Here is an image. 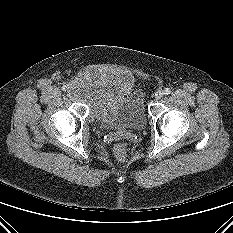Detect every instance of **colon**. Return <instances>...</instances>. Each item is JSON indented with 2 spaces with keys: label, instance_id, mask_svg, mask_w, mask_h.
<instances>
[{
  "label": "colon",
  "instance_id": "5ec220e1",
  "mask_svg": "<svg viewBox=\"0 0 233 233\" xmlns=\"http://www.w3.org/2000/svg\"><path fill=\"white\" fill-rule=\"evenodd\" d=\"M114 155L119 162H125L127 160V147L124 143H117L114 146Z\"/></svg>",
  "mask_w": 233,
  "mask_h": 233
}]
</instances>
